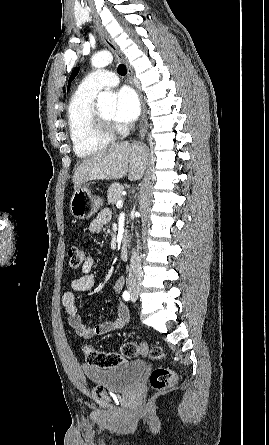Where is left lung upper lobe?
Listing matches in <instances>:
<instances>
[{
	"instance_id": "left-lung-upper-lobe-1",
	"label": "left lung upper lobe",
	"mask_w": 269,
	"mask_h": 445,
	"mask_svg": "<svg viewBox=\"0 0 269 445\" xmlns=\"http://www.w3.org/2000/svg\"><path fill=\"white\" fill-rule=\"evenodd\" d=\"M78 72H79V68H75V69L72 71L71 76H70V78H69L68 89H69L70 84H71V82L73 81V79L77 76Z\"/></svg>"
}]
</instances>
